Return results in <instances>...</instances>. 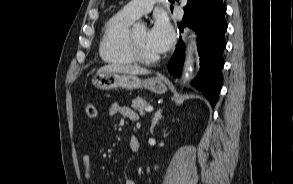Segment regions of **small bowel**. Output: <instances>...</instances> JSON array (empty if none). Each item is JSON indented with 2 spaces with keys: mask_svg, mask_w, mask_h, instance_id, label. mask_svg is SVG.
<instances>
[{
  "mask_svg": "<svg viewBox=\"0 0 293 184\" xmlns=\"http://www.w3.org/2000/svg\"><path fill=\"white\" fill-rule=\"evenodd\" d=\"M109 115L114 116L119 114L124 118L130 121H136L138 119V115L136 112L128 106H124L118 103H114L109 108ZM129 147L132 152H136L139 148V142L136 137L132 136L129 140ZM83 171H84V178L86 183L90 184L92 179V162L91 158L88 154H84L81 158ZM125 184H136V182L132 179H126Z\"/></svg>",
  "mask_w": 293,
  "mask_h": 184,
  "instance_id": "obj_1",
  "label": "small bowel"
}]
</instances>
